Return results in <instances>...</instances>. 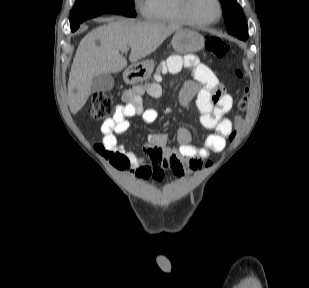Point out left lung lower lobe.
<instances>
[{
	"instance_id": "0a47b994",
	"label": "left lung lower lobe",
	"mask_w": 309,
	"mask_h": 288,
	"mask_svg": "<svg viewBox=\"0 0 309 288\" xmlns=\"http://www.w3.org/2000/svg\"><path fill=\"white\" fill-rule=\"evenodd\" d=\"M234 36H236L237 38L241 39V40H246L248 38V34L244 35V34H232Z\"/></svg>"
}]
</instances>
